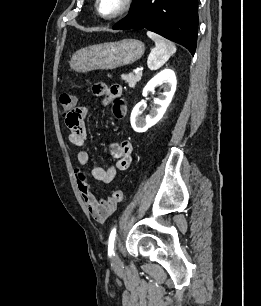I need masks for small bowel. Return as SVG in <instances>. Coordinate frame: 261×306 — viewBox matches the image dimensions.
Listing matches in <instances>:
<instances>
[{"instance_id": "small-bowel-1", "label": "small bowel", "mask_w": 261, "mask_h": 306, "mask_svg": "<svg viewBox=\"0 0 261 306\" xmlns=\"http://www.w3.org/2000/svg\"><path fill=\"white\" fill-rule=\"evenodd\" d=\"M93 93L102 97L104 105L112 104V113L116 120L121 121L126 114V105L121 100L123 89L120 85L106 86L98 84L93 87ZM89 106H81L74 109L65 117L66 126L69 129L68 140L78 148L76 159L78 167L74 173L77 185L83 201L90 215L98 222L106 221L115 211L117 202L112 196L97 198L92 191L83 167L92 164L91 173L95 180L101 183H110L116 175L129 168L132 162V144L129 140H123L111 145V153L116 158V162L109 168L104 169L93 164L90 152L86 149L87 128L85 124Z\"/></svg>"}]
</instances>
